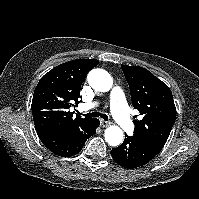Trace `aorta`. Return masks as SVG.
<instances>
[{"label":"aorta","mask_w":199,"mask_h":199,"mask_svg":"<svg viewBox=\"0 0 199 199\" xmlns=\"http://www.w3.org/2000/svg\"><path fill=\"white\" fill-rule=\"evenodd\" d=\"M88 83L96 91L107 92L111 89L113 80L104 69H93L88 74ZM105 140L111 146H118L123 141V131L118 126H109L105 130Z\"/></svg>","instance_id":"762f6f07"}]
</instances>
